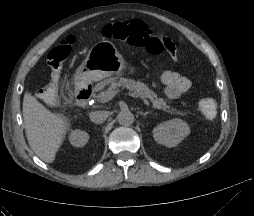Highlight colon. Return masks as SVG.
Segmentation results:
<instances>
[{
	"label": "colon",
	"instance_id": "colon-1",
	"mask_svg": "<svg viewBox=\"0 0 254 216\" xmlns=\"http://www.w3.org/2000/svg\"><path fill=\"white\" fill-rule=\"evenodd\" d=\"M101 34L107 39L142 47L154 55L168 54L161 43L163 36L154 34L139 20L107 24L102 28ZM74 43L75 39L68 36L61 40L47 56L50 83L40 92V95L48 103H52L58 98V84L61 79L62 67L68 59ZM197 110L205 119H213L217 113V103L211 97L203 98L199 101Z\"/></svg>",
	"mask_w": 254,
	"mask_h": 216
}]
</instances>
